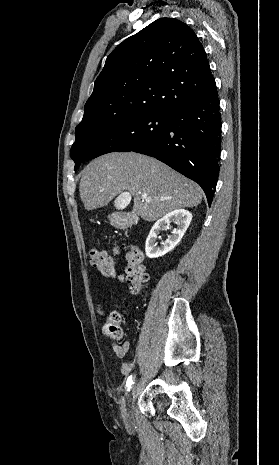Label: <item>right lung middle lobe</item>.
<instances>
[{
	"label": "right lung middle lobe",
	"instance_id": "right-lung-middle-lobe-1",
	"mask_svg": "<svg viewBox=\"0 0 279 465\" xmlns=\"http://www.w3.org/2000/svg\"><path fill=\"white\" fill-rule=\"evenodd\" d=\"M167 123V112H140L119 120L76 129V140L70 151L75 170L81 162L100 155L146 145L166 129Z\"/></svg>",
	"mask_w": 279,
	"mask_h": 465
}]
</instances>
